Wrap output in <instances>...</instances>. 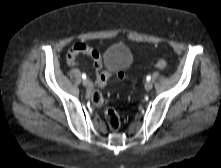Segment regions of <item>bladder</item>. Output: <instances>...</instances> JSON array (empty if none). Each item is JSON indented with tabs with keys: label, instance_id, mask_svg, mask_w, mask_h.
<instances>
[{
	"label": "bladder",
	"instance_id": "bladder-1",
	"mask_svg": "<svg viewBox=\"0 0 221 168\" xmlns=\"http://www.w3.org/2000/svg\"><path fill=\"white\" fill-rule=\"evenodd\" d=\"M104 59L111 70L121 72L130 66L132 53L126 45L116 43L106 49Z\"/></svg>",
	"mask_w": 221,
	"mask_h": 168
}]
</instances>
